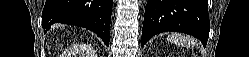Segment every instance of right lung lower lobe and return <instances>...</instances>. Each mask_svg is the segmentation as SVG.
<instances>
[{"mask_svg":"<svg viewBox=\"0 0 249 57\" xmlns=\"http://www.w3.org/2000/svg\"><path fill=\"white\" fill-rule=\"evenodd\" d=\"M113 0H46L42 12V27L54 23L81 26L97 33L109 46Z\"/></svg>","mask_w":249,"mask_h":57,"instance_id":"1","label":"right lung lower lobe"}]
</instances>
